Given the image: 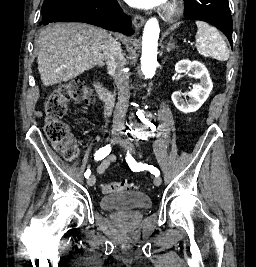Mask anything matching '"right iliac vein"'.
I'll return each instance as SVG.
<instances>
[{"instance_id": "obj_1", "label": "right iliac vein", "mask_w": 256, "mask_h": 267, "mask_svg": "<svg viewBox=\"0 0 256 267\" xmlns=\"http://www.w3.org/2000/svg\"><path fill=\"white\" fill-rule=\"evenodd\" d=\"M117 139H118V133L116 131H113L111 134L110 143H115ZM95 182H96V178L93 175L87 180L88 186H93Z\"/></svg>"}]
</instances>
